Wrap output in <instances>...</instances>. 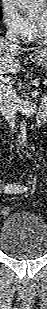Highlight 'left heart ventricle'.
<instances>
[{
	"mask_svg": "<svg viewBox=\"0 0 47 309\" xmlns=\"http://www.w3.org/2000/svg\"><path fill=\"white\" fill-rule=\"evenodd\" d=\"M35 21L37 22V27L44 31L46 29V18L45 14H41L40 16L35 17Z\"/></svg>",
	"mask_w": 47,
	"mask_h": 309,
	"instance_id": "left-heart-ventricle-1",
	"label": "left heart ventricle"
}]
</instances>
